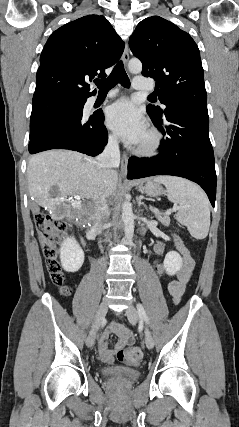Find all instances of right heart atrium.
<instances>
[{
	"mask_svg": "<svg viewBox=\"0 0 239 427\" xmlns=\"http://www.w3.org/2000/svg\"><path fill=\"white\" fill-rule=\"evenodd\" d=\"M108 141H109V144L113 147H115L117 144L116 138L113 135H109Z\"/></svg>",
	"mask_w": 239,
	"mask_h": 427,
	"instance_id": "1",
	"label": "right heart atrium"
}]
</instances>
